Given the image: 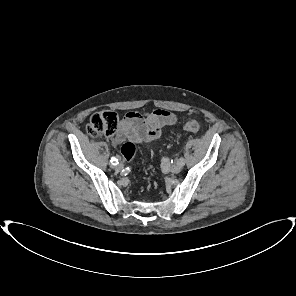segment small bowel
Segmentation results:
<instances>
[{
    "mask_svg": "<svg viewBox=\"0 0 296 296\" xmlns=\"http://www.w3.org/2000/svg\"><path fill=\"white\" fill-rule=\"evenodd\" d=\"M176 122L177 116L165 109H156L146 114L129 112L122 119L113 143L118 145L126 139L135 143L151 141L160 137L165 127Z\"/></svg>",
    "mask_w": 296,
    "mask_h": 296,
    "instance_id": "1",
    "label": "small bowel"
}]
</instances>
